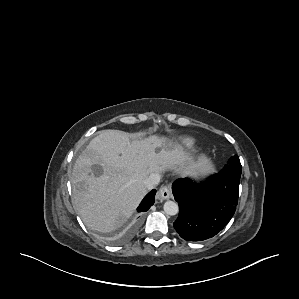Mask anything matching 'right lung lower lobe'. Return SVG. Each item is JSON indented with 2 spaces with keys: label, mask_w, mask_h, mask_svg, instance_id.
<instances>
[{
  "label": "right lung lower lobe",
  "mask_w": 299,
  "mask_h": 299,
  "mask_svg": "<svg viewBox=\"0 0 299 299\" xmlns=\"http://www.w3.org/2000/svg\"><path fill=\"white\" fill-rule=\"evenodd\" d=\"M156 190L150 191L142 200L139 207L137 208L138 212H146L154 204Z\"/></svg>",
  "instance_id": "1"
}]
</instances>
